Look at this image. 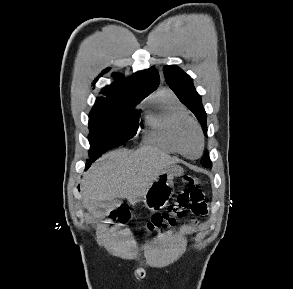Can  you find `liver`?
Masks as SVG:
<instances>
[{
  "label": "liver",
  "mask_w": 293,
  "mask_h": 289,
  "mask_svg": "<svg viewBox=\"0 0 293 289\" xmlns=\"http://www.w3.org/2000/svg\"><path fill=\"white\" fill-rule=\"evenodd\" d=\"M178 161L148 145L133 153L122 149L111 151L92 164L82 180L84 207L95 215L96 209L106 201L126 198L136 203L165 168Z\"/></svg>",
  "instance_id": "liver-1"
}]
</instances>
